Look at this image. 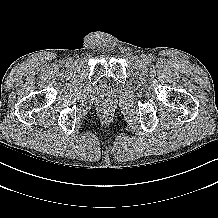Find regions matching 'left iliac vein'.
I'll return each instance as SVG.
<instances>
[{
    "instance_id": "1",
    "label": "left iliac vein",
    "mask_w": 218,
    "mask_h": 218,
    "mask_svg": "<svg viewBox=\"0 0 218 218\" xmlns=\"http://www.w3.org/2000/svg\"><path fill=\"white\" fill-rule=\"evenodd\" d=\"M142 59L144 62H146L148 60V57L144 55Z\"/></svg>"
}]
</instances>
